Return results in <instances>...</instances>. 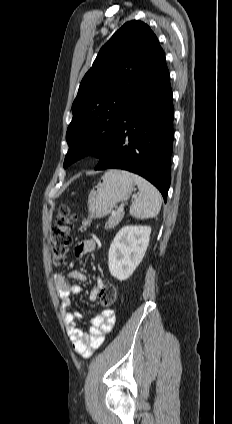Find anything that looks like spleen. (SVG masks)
Listing matches in <instances>:
<instances>
[{"mask_svg": "<svg viewBox=\"0 0 232 424\" xmlns=\"http://www.w3.org/2000/svg\"><path fill=\"white\" fill-rule=\"evenodd\" d=\"M131 176L138 186L139 196L130 206V214L137 219L156 217L161 209V194L146 179L136 174Z\"/></svg>", "mask_w": 232, "mask_h": 424, "instance_id": "3e777b00", "label": "spleen"}]
</instances>
